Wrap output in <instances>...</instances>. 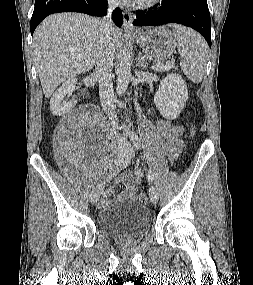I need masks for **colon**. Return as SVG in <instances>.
<instances>
[{
    "mask_svg": "<svg viewBox=\"0 0 253 285\" xmlns=\"http://www.w3.org/2000/svg\"><path fill=\"white\" fill-rule=\"evenodd\" d=\"M193 132V130H192ZM138 201L141 203V204H146L148 202V197H147V194L142 192L138 195Z\"/></svg>",
    "mask_w": 253,
    "mask_h": 285,
    "instance_id": "5ec220e1",
    "label": "colon"
}]
</instances>
